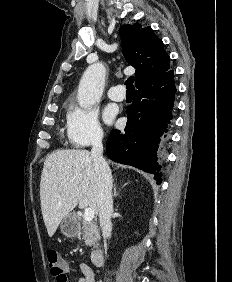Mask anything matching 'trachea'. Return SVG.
<instances>
[{
  "mask_svg": "<svg viewBox=\"0 0 232 282\" xmlns=\"http://www.w3.org/2000/svg\"><path fill=\"white\" fill-rule=\"evenodd\" d=\"M133 82H134V77L133 76H130L126 82H125V85H126V88H127V92H132L135 90L134 86H133Z\"/></svg>",
  "mask_w": 232,
  "mask_h": 282,
  "instance_id": "obj_1",
  "label": "trachea"
}]
</instances>
